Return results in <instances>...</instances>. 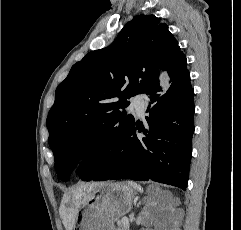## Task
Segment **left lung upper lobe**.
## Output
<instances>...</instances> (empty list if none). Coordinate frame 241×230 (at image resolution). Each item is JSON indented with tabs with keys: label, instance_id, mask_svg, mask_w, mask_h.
Returning <instances> with one entry per match:
<instances>
[{
	"label": "left lung upper lobe",
	"instance_id": "left-lung-upper-lobe-1",
	"mask_svg": "<svg viewBox=\"0 0 241 230\" xmlns=\"http://www.w3.org/2000/svg\"><path fill=\"white\" fill-rule=\"evenodd\" d=\"M183 53L166 24L154 15L135 16L107 48L88 53L58 85L47 117L55 169L67 181L79 158L103 141L113 142L135 121L128 99L158 81ZM157 64V65H154Z\"/></svg>",
	"mask_w": 241,
	"mask_h": 230
}]
</instances>
